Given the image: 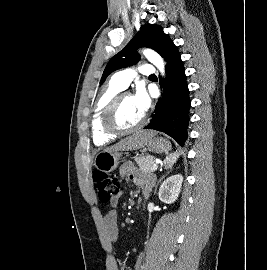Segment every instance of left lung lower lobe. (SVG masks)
<instances>
[{"label": "left lung lower lobe", "instance_id": "obj_1", "mask_svg": "<svg viewBox=\"0 0 267 270\" xmlns=\"http://www.w3.org/2000/svg\"><path fill=\"white\" fill-rule=\"evenodd\" d=\"M166 78L161 79L164 99L156 104L154 115L144 129L165 132L179 146H184L188 137L189 110L191 102L186 82L185 69L175 45L164 58Z\"/></svg>", "mask_w": 267, "mask_h": 270}]
</instances>
